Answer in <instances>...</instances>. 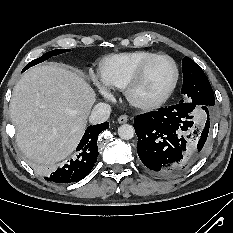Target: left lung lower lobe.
Returning a JSON list of instances; mask_svg holds the SVG:
<instances>
[{
    "label": "left lung lower lobe",
    "mask_w": 233,
    "mask_h": 233,
    "mask_svg": "<svg viewBox=\"0 0 233 233\" xmlns=\"http://www.w3.org/2000/svg\"><path fill=\"white\" fill-rule=\"evenodd\" d=\"M195 108H202L207 114V121L196 145L189 142L188 133L194 122L190 121ZM210 106L184 103L160 108L158 111L137 116L134 129L138 136L137 153L142 163L152 173L162 177H171L194 163L201 155L209 133ZM197 135V132H193Z\"/></svg>",
    "instance_id": "1"
}]
</instances>
